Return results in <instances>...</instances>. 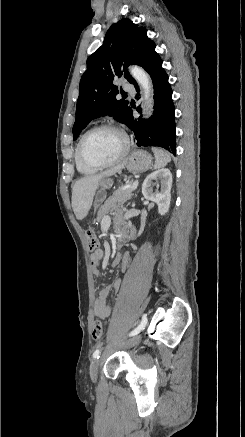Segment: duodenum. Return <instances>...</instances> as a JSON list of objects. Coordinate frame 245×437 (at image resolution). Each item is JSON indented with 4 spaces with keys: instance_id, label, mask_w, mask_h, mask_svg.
<instances>
[{
    "instance_id": "duodenum-1",
    "label": "duodenum",
    "mask_w": 245,
    "mask_h": 437,
    "mask_svg": "<svg viewBox=\"0 0 245 437\" xmlns=\"http://www.w3.org/2000/svg\"><path fill=\"white\" fill-rule=\"evenodd\" d=\"M118 244H123L126 241V237L123 231L118 232ZM113 265H116L115 260L113 261Z\"/></svg>"
}]
</instances>
